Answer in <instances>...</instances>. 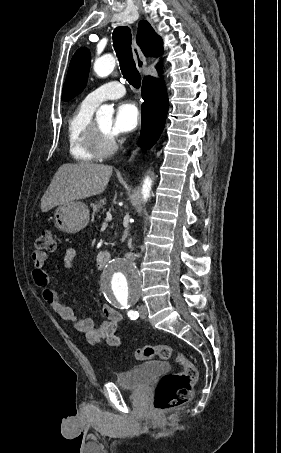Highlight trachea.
<instances>
[{"label": "trachea", "instance_id": "1", "mask_svg": "<svg viewBox=\"0 0 281 453\" xmlns=\"http://www.w3.org/2000/svg\"><path fill=\"white\" fill-rule=\"evenodd\" d=\"M131 30L129 27H117L113 32V47L118 57L124 78L138 89L141 85V76L136 68L131 51Z\"/></svg>", "mask_w": 281, "mask_h": 453}]
</instances>
